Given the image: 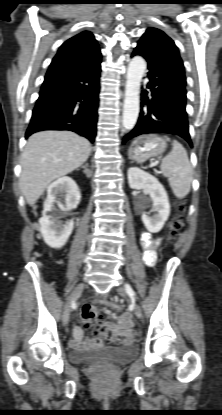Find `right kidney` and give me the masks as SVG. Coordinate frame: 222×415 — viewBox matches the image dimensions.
I'll return each mask as SVG.
<instances>
[{
	"label": "right kidney",
	"mask_w": 222,
	"mask_h": 415,
	"mask_svg": "<svg viewBox=\"0 0 222 415\" xmlns=\"http://www.w3.org/2000/svg\"><path fill=\"white\" fill-rule=\"evenodd\" d=\"M80 199L79 188L70 177L59 178L48 186L43 216L39 220L40 231L47 245L61 248L66 244L72 233L74 221L71 219L63 224L59 219L65 212L75 209ZM55 203L59 209L55 208Z\"/></svg>",
	"instance_id": "right-kidney-1"
}]
</instances>
